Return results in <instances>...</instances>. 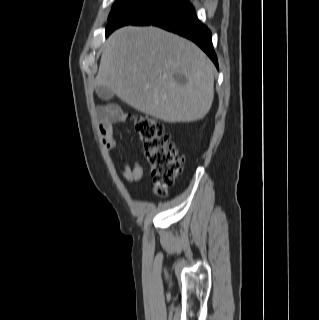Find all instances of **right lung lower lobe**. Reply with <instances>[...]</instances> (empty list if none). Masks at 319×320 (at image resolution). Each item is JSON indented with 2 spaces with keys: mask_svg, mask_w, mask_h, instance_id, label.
<instances>
[{
  "mask_svg": "<svg viewBox=\"0 0 319 320\" xmlns=\"http://www.w3.org/2000/svg\"><path fill=\"white\" fill-rule=\"evenodd\" d=\"M151 24L192 40L218 67L217 56L212 45L211 32L198 20L195 9L190 2L179 0L176 4L150 13L133 23V25ZM114 30L106 32V37Z\"/></svg>",
  "mask_w": 319,
  "mask_h": 320,
  "instance_id": "1",
  "label": "right lung lower lobe"
}]
</instances>
